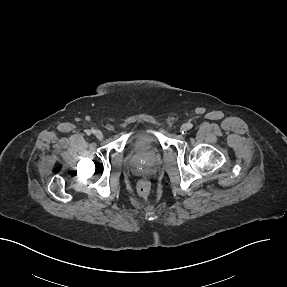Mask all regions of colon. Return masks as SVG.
<instances>
[{
    "label": "colon",
    "instance_id": "obj_1",
    "mask_svg": "<svg viewBox=\"0 0 287 287\" xmlns=\"http://www.w3.org/2000/svg\"><path fill=\"white\" fill-rule=\"evenodd\" d=\"M151 191V184L148 179L142 178L138 184H137V193L141 197H148L149 193Z\"/></svg>",
    "mask_w": 287,
    "mask_h": 287
}]
</instances>
